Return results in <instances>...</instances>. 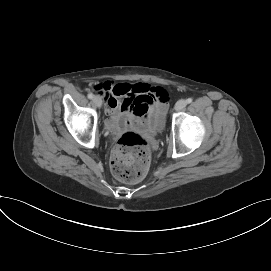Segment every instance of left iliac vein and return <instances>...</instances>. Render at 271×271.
<instances>
[{"label":"left iliac vein","instance_id":"obj_1","mask_svg":"<svg viewBox=\"0 0 271 271\" xmlns=\"http://www.w3.org/2000/svg\"><path fill=\"white\" fill-rule=\"evenodd\" d=\"M187 105V101L184 99H181L179 101H177V103L175 104V110L176 111H180L182 109H184Z\"/></svg>","mask_w":271,"mask_h":271}]
</instances>
